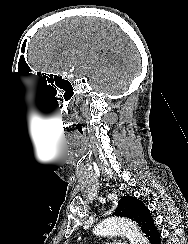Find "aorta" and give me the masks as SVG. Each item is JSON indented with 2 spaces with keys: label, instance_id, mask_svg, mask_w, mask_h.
<instances>
[{
  "label": "aorta",
  "instance_id": "762f6f07",
  "mask_svg": "<svg viewBox=\"0 0 188 244\" xmlns=\"http://www.w3.org/2000/svg\"><path fill=\"white\" fill-rule=\"evenodd\" d=\"M94 233L99 236L124 235L130 244H147L138 226L131 220L121 217L105 219L94 228Z\"/></svg>",
  "mask_w": 188,
  "mask_h": 244
}]
</instances>
